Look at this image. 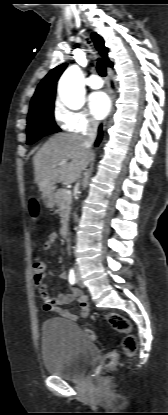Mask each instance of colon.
I'll list each match as a JSON object with an SVG mask.
<instances>
[{"label": "colon", "instance_id": "5ec220e1", "mask_svg": "<svg viewBox=\"0 0 168 415\" xmlns=\"http://www.w3.org/2000/svg\"><path fill=\"white\" fill-rule=\"evenodd\" d=\"M35 213V211H33ZM46 266V261L41 259L40 257L36 258L35 263L31 266V273L32 275V282L33 283H40L42 279L45 278L46 273L44 267ZM108 322L111 326L117 330L118 332L125 333V337L122 340V349L123 352L127 355H132L137 350V339L134 335L130 334L131 330V323L130 321L123 315L119 313H107L105 315ZM85 334L88 339L95 340L96 335L95 333L90 330L86 329ZM118 358V353L116 351H111L103 355L100 360L99 365L95 369V374H98L101 370L105 368H109L113 366Z\"/></svg>", "mask_w": 168, "mask_h": 415}]
</instances>
